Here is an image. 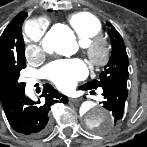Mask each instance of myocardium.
Returning a JSON list of instances; mask_svg holds the SVG:
<instances>
[{
	"label": "myocardium",
	"mask_w": 147,
	"mask_h": 147,
	"mask_svg": "<svg viewBox=\"0 0 147 147\" xmlns=\"http://www.w3.org/2000/svg\"><path fill=\"white\" fill-rule=\"evenodd\" d=\"M83 47L89 59L94 64H103L110 55V47L106 40L100 36H95Z\"/></svg>",
	"instance_id": "f54148a6"
}]
</instances>
